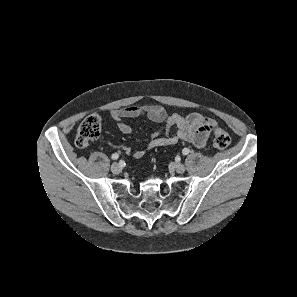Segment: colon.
Listing matches in <instances>:
<instances>
[{
    "instance_id": "1",
    "label": "colon",
    "mask_w": 297,
    "mask_h": 297,
    "mask_svg": "<svg viewBox=\"0 0 297 297\" xmlns=\"http://www.w3.org/2000/svg\"><path fill=\"white\" fill-rule=\"evenodd\" d=\"M101 130V118L98 115L86 117L77 129L75 144L78 148L84 149L89 142L96 139ZM230 136L226 130L221 127H215L213 130V146L216 149H226L230 144Z\"/></svg>"
}]
</instances>
